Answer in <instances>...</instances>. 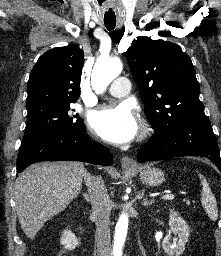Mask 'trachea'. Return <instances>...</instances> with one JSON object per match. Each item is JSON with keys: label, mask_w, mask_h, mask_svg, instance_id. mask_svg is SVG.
I'll return each instance as SVG.
<instances>
[{"label": "trachea", "mask_w": 221, "mask_h": 256, "mask_svg": "<svg viewBox=\"0 0 221 256\" xmlns=\"http://www.w3.org/2000/svg\"><path fill=\"white\" fill-rule=\"evenodd\" d=\"M116 22H105V26L109 29L112 30L115 28Z\"/></svg>", "instance_id": "3493384b"}]
</instances>
